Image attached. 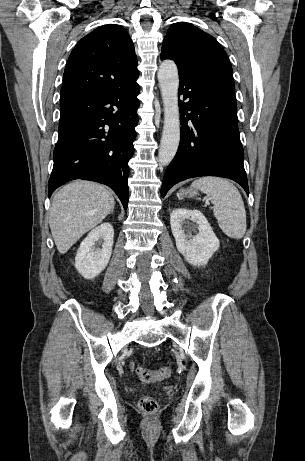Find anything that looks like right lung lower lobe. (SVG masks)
Returning <instances> with one entry per match:
<instances>
[{
  "label": "right lung lower lobe",
  "instance_id": "right-lung-lower-lobe-1",
  "mask_svg": "<svg viewBox=\"0 0 305 461\" xmlns=\"http://www.w3.org/2000/svg\"><path fill=\"white\" fill-rule=\"evenodd\" d=\"M139 85L60 103L58 141L48 195L74 179L111 187L128 206V161L134 153Z\"/></svg>",
  "mask_w": 305,
  "mask_h": 461
}]
</instances>
